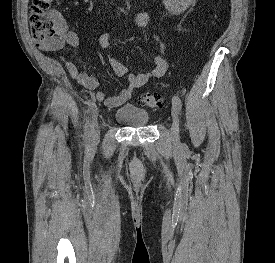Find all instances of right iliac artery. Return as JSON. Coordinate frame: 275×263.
<instances>
[{
    "mask_svg": "<svg viewBox=\"0 0 275 263\" xmlns=\"http://www.w3.org/2000/svg\"><path fill=\"white\" fill-rule=\"evenodd\" d=\"M95 111H96V105H95V103L92 102L89 105V108L87 110L86 119H85L84 139L87 142H89L91 140L92 121H93Z\"/></svg>",
    "mask_w": 275,
    "mask_h": 263,
    "instance_id": "82829eb1",
    "label": "right iliac artery"
}]
</instances>
